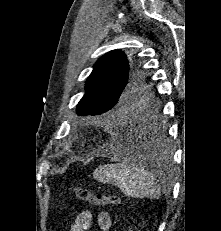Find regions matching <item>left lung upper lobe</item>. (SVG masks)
Listing matches in <instances>:
<instances>
[{"label": "left lung upper lobe", "instance_id": "5c2ea615", "mask_svg": "<svg viewBox=\"0 0 221 231\" xmlns=\"http://www.w3.org/2000/svg\"><path fill=\"white\" fill-rule=\"evenodd\" d=\"M86 90L78 115H114L132 105L153 110L156 104V93L138 61L129 62L121 50L108 52L95 63Z\"/></svg>", "mask_w": 221, "mask_h": 231}]
</instances>
